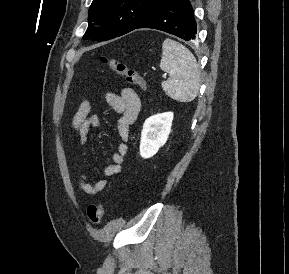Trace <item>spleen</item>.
<instances>
[{
    "instance_id": "obj_1",
    "label": "spleen",
    "mask_w": 289,
    "mask_h": 274,
    "mask_svg": "<svg viewBox=\"0 0 289 274\" xmlns=\"http://www.w3.org/2000/svg\"><path fill=\"white\" fill-rule=\"evenodd\" d=\"M160 68L170 75L161 84L169 97L180 102H190L196 98L200 69L196 58L184 45L166 38L162 44Z\"/></svg>"
}]
</instances>
